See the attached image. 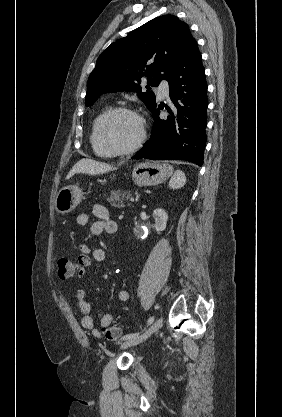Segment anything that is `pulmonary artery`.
<instances>
[{"instance_id": "1", "label": "pulmonary artery", "mask_w": 282, "mask_h": 417, "mask_svg": "<svg viewBox=\"0 0 282 417\" xmlns=\"http://www.w3.org/2000/svg\"><path fill=\"white\" fill-rule=\"evenodd\" d=\"M160 94L162 97H166L168 95V84L166 82H162L160 84Z\"/></svg>"}]
</instances>
